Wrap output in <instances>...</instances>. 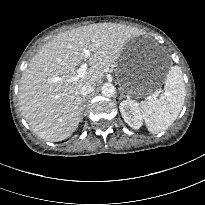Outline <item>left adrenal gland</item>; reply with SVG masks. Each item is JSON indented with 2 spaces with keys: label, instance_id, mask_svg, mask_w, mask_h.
I'll return each mask as SVG.
<instances>
[{
  "label": "left adrenal gland",
  "instance_id": "1",
  "mask_svg": "<svg viewBox=\"0 0 205 205\" xmlns=\"http://www.w3.org/2000/svg\"><path fill=\"white\" fill-rule=\"evenodd\" d=\"M126 96L124 95V93L121 91L120 92V97H119V99L121 100L122 98H125ZM128 97V96H127Z\"/></svg>",
  "mask_w": 205,
  "mask_h": 205
}]
</instances>
